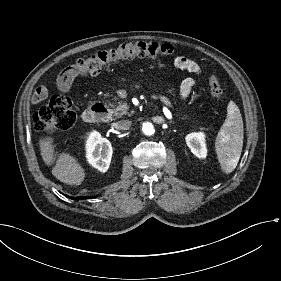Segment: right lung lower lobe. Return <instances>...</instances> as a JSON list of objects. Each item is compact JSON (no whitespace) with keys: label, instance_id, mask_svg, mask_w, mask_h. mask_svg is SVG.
<instances>
[{"label":"right lung lower lobe","instance_id":"1","mask_svg":"<svg viewBox=\"0 0 281 281\" xmlns=\"http://www.w3.org/2000/svg\"><path fill=\"white\" fill-rule=\"evenodd\" d=\"M66 196V195H65ZM71 199H77V200H80V199H86V197L84 198V197H70Z\"/></svg>","mask_w":281,"mask_h":281}]
</instances>
